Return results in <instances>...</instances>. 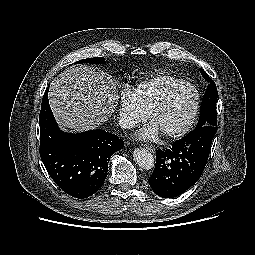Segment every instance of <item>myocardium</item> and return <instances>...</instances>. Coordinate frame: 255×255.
<instances>
[{"instance_id":"1","label":"myocardium","mask_w":255,"mask_h":255,"mask_svg":"<svg viewBox=\"0 0 255 255\" xmlns=\"http://www.w3.org/2000/svg\"><path fill=\"white\" fill-rule=\"evenodd\" d=\"M186 89H193L195 92V103H194L192 114L190 118L188 119V121L180 128L162 133L166 139H178L183 137L185 134H187L190 131V129L196 122L197 117L199 115V110L201 105L200 91L194 84L184 83L180 87L171 91L163 99H161L150 111V119L153 121L159 112L164 110L177 95H179L181 92H183Z\"/></svg>"}]
</instances>
